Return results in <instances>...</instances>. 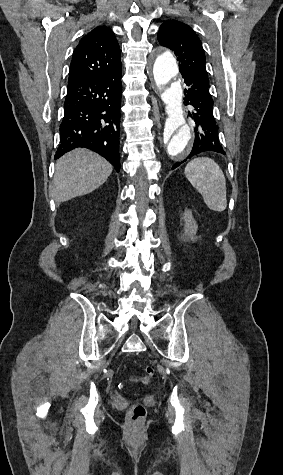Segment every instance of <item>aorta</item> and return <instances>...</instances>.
Listing matches in <instances>:
<instances>
[{"label":"aorta","mask_w":283,"mask_h":475,"mask_svg":"<svg viewBox=\"0 0 283 475\" xmlns=\"http://www.w3.org/2000/svg\"><path fill=\"white\" fill-rule=\"evenodd\" d=\"M155 83L166 104L167 118L160 138L159 151L163 158L181 160L193 146L192 129L182 106V87L176 59L170 51L156 57L152 66Z\"/></svg>","instance_id":"obj_1"}]
</instances>
